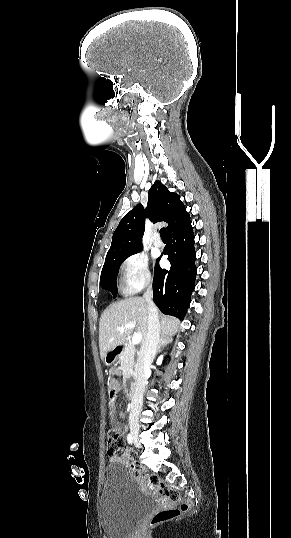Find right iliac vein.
Wrapping results in <instances>:
<instances>
[{
	"label": "right iliac vein",
	"instance_id": "1",
	"mask_svg": "<svg viewBox=\"0 0 291 538\" xmlns=\"http://www.w3.org/2000/svg\"><path fill=\"white\" fill-rule=\"evenodd\" d=\"M130 432L132 435V438L134 440V443L139 446L138 442V435H139V424L135 421L130 422Z\"/></svg>",
	"mask_w": 291,
	"mask_h": 538
}]
</instances>
